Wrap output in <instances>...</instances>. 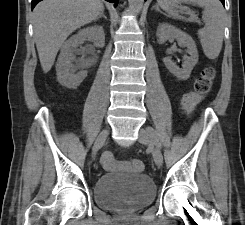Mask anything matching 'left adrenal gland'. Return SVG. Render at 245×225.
<instances>
[{
  "mask_svg": "<svg viewBox=\"0 0 245 225\" xmlns=\"http://www.w3.org/2000/svg\"><path fill=\"white\" fill-rule=\"evenodd\" d=\"M153 9H155L156 11L162 13L157 5L153 6Z\"/></svg>",
  "mask_w": 245,
  "mask_h": 225,
  "instance_id": "left-adrenal-gland-1",
  "label": "left adrenal gland"
}]
</instances>
